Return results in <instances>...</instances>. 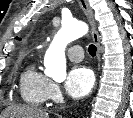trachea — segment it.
Instances as JSON below:
<instances>
[{"label":"trachea","instance_id":"trachea-1","mask_svg":"<svg viewBox=\"0 0 133 118\" xmlns=\"http://www.w3.org/2000/svg\"><path fill=\"white\" fill-rule=\"evenodd\" d=\"M96 51H97V48L95 45L91 44L88 48V52L91 56H95L96 55Z\"/></svg>","mask_w":133,"mask_h":118}]
</instances>
